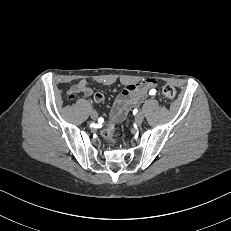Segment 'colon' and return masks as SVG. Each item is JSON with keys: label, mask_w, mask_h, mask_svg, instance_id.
Wrapping results in <instances>:
<instances>
[{"label": "colon", "mask_w": 231, "mask_h": 231, "mask_svg": "<svg viewBox=\"0 0 231 231\" xmlns=\"http://www.w3.org/2000/svg\"><path fill=\"white\" fill-rule=\"evenodd\" d=\"M162 93L168 99H174L176 97L175 88L169 84H165L162 87ZM74 96L75 95L71 94V97ZM116 122H117L116 120H111L109 124L102 131L103 137L113 144L117 142V139L115 137Z\"/></svg>", "instance_id": "1"}]
</instances>
